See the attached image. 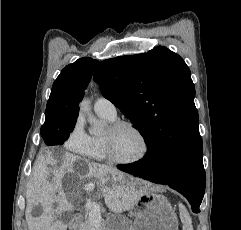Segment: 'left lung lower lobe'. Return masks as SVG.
Listing matches in <instances>:
<instances>
[{"label":"left lung lower lobe","mask_w":241,"mask_h":230,"mask_svg":"<svg viewBox=\"0 0 241 230\" xmlns=\"http://www.w3.org/2000/svg\"><path fill=\"white\" fill-rule=\"evenodd\" d=\"M117 167L134 176L157 184L168 185L188 199L194 213L200 212L199 206L205 191V170L202 155L189 159L184 166L173 171L167 151L161 144L157 143L148 147L143 159Z\"/></svg>","instance_id":"obj_1"}]
</instances>
